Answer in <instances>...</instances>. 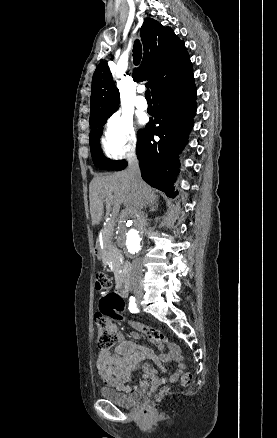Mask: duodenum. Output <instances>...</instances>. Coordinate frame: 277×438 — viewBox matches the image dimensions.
<instances>
[{"label":"duodenum","instance_id":"1","mask_svg":"<svg viewBox=\"0 0 277 438\" xmlns=\"http://www.w3.org/2000/svg\"><path fill=\"white\" fill-rule=\"evenodd\" d=\"M94 253L97 258L101 257V245L99 242H96L94 246ZM128 272H129V264L125 263L123 267V274L118 277L116 283V292L121 296H126L128 294V279H127Z\"/></svg>","mask_w":277,"mask_h":438}]
</instances>
